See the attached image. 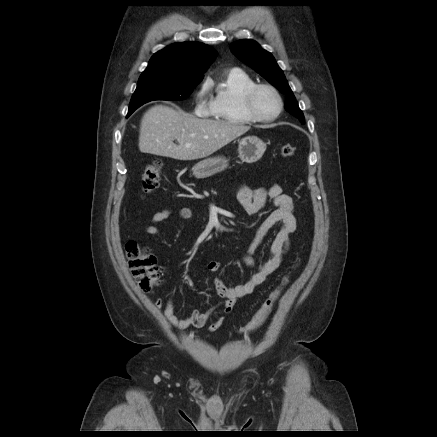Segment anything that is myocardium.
I'll return each mask as SVG.
<instances>
[{"instance_id":"f54148a6","label":"myocardium","mask_w":437,"mask_h":437,"mask_svg":"<svg viewBox=\"0 0 437 437\" xmlns=\"http://www.w3.org/2000/svg\"><path fill=\"white\" fill-rule=\"evenodd\" d=\"M262 89L270 90L275 95L277 102H278V109H277L276 113L270 117L261 116L260 114L257 113V111L255 109V105H254L255 97H256L257 93ZM244 106H245V110H246L247 114L254 121L271 122V121L277 119L280 116V114L282 113V111H283V99H282L281 94L277 90V88H275L273 85L267 84V83H259V84L253 85L252 87H250L246 91L245 96H244Z\"/></svg>"}]
</instances>
